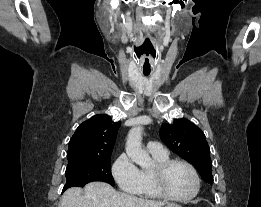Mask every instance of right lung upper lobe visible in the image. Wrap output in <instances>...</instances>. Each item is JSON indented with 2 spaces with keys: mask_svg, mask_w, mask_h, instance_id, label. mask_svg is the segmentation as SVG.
<instances>
[{
  "mask_svg": "<svg viewBox=\"0 0 261 207\" xmlns=\"http://www.w3.org/2000/svg\"><path fill=\"white\" fill-rule=\"evenodd\" d=\"M120 124L101 114L84 121L70 139L68 163L111 157Z\"/></svg>",
  "mask_w": 261,
  "mask_h": 207,
  "instance_id": "obj_1",
  "label": "right lung upper lobe"
}]
</instances>
